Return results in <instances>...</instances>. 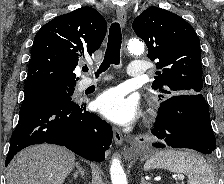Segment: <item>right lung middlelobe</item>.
Listing matches in <instances>:
<instances>
[{
    "label": "right lung middle lobe",
    "instance_id": "1",
    "mask_svg": "<svg viewBox=\"0 0 224 184\" xmlns=\"http://www.w3.org/2000/svg\"><path fill=\"white\" fill-rule=\"evenodd\" d=\"M25 98L21 105L24 106L35 100L47 97H59L71 99L74 92V85L55 84V83H37L24 86Z\"/></svg>",
    "mask_w": 224,
    "mask_h": 184
}]
</instances>
